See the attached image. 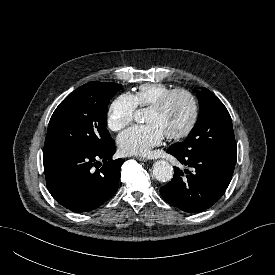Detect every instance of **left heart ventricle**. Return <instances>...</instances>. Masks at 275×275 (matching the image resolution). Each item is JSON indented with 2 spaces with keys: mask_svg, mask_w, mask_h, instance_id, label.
Returning <instances> with one entry per match:
<instances>
[{
  "mask_svg": "<svg viewBox=\"0 0 275 275\" xmlns=\"http://www.w3.org/2000/svg\"><path fill=\"white\" fill-rule=\"evenodd\" d=\"M191 116V104L182 94L173 96L160 111L149 109L146 117L148 124H156L163 134L177 133L184 129Z\"/></svg>",
  "mask_w": 275,
  "mask_h": 275,
  "instance_id": "1",
  "label": "left heart ventricle"
}]
</instances>
